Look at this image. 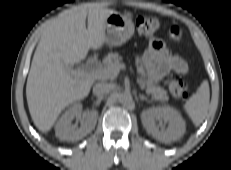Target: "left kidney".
I'll return each instance as SVG.
<instances>
[{"instance_id":"obj_1","label":"left kidney","mask_w":231,"mask_h":170,"mask_svg":"<svg viewBox=\"0 0 231 170\" xmlns=\"http://www.w3.org/2000/svg\"><path fill=\"white\" fill-rule=\"evenodd\" d=\"M142 124L146 131L161 142L169 143L180 139L186 129V124L180 113L170 106H162L144 110L141 114ZM163 120L167 128L156 126L155 121Z\"/></svg>"}]
</instances>
